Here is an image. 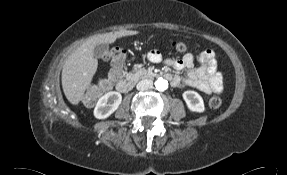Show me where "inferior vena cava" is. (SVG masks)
Instances as JSON below:
<instances>
[{
	"label": "inferior vena cava",
	"instance_id": "1",
	"mask_svg": "<svg viewBox=\"0 0 287 175\" xmlns=\"http://www.w3.org/2000/svg\"><path fill=\"white\" fill-rule=\"evenodd\" d=\"M153 85V82L149 79L142 80L141 82L138 83L137 89L138 90H146L150 88Z\"/></svg>",
	"mask_w": 287,
	"mask_h": 175
}]
</instances>
